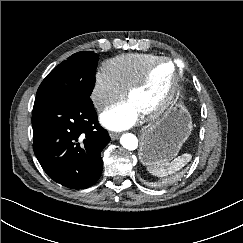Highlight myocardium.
I'll use <instances>...</instances> for the list:
<instances>
[{
	"label": "myocardium",
	"instance_id": "myocardium-1",
	"mask_svg": "<svg viewBox=\"0 0 243 243\" xmlns=\"http://www.w3.org/2000/svg\"><path fill=\"white\" fill-rule=\"evenodd\" d=\"M160 63H169L173 67V76L170 85L162 97V99L152 108L142 112L143 116L147 119H154L160 116L171 103L174 94L177 90L179 84V71L175 61L170 57H158L152 61L144 70L139 78H137L133 83H131L126 89V97L129 99L134 92L141 89L148 82L153 69Z\"/></svg>",
	"mask_w": 243,
	"mask_h": 243
}]
</instances>
